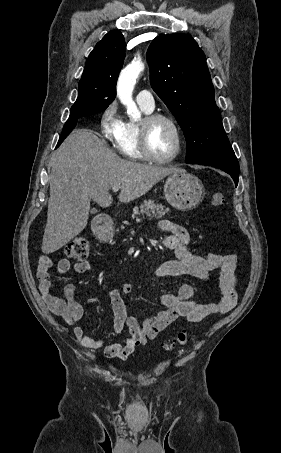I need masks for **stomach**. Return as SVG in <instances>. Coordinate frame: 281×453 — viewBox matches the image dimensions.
<instances>
[{
	"label": "stomach",
	"instance_id": "0dacf381",
	"mask_svg": "<svg viewBox=\"0 0 281 453\" xmlns=\"http://www.w3.org/2000/svg\"><path fill=\"white\" fill-rule=\"evenodd\" d=\"M164 194L167 202L174 208L191 210L203 200L205 190L200 178L185 170V172H174L168 176L164 184ZM112 235V229L110 231L105 229L100 233V237L104 239H111Z\"/></svg>",
	"mask_w": 281,
	"mask_h": 453
}]
</instances>
